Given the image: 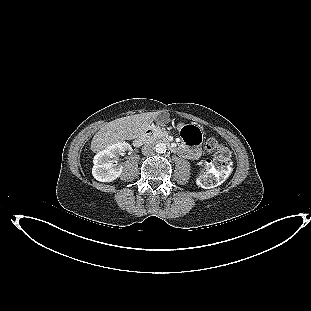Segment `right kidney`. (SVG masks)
<instances>
[{
  "mask_svg": "<svg viewBox=\"0 0 311 311\" xmlns=\"http://www.w3.org/2000/svg\"><path fill=\"white\" fill-rule=\"evenodd\" d=\"M131 150L130 144L119 141L96 154L92 168L94 178L100 182H112L117 179L121 175L123 167L113 164V158Z\"/></svg>",
  "mask_w": 311,
  "mask_h": 311,
  "instance_id": "obj_1",
  "label": "right kidney"
}]
</instances>
